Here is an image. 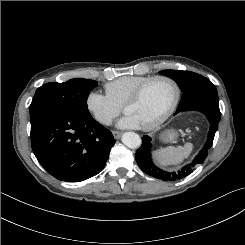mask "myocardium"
<instances>
[{
	"mask_svg": "<svg viewBox=\"0 0 245 245\" xmlns=\"http://www.w3.org/2000/svg\"><path fill=\"white\" fill-rule=\"evenodd\" d=\"M154 81H167V82L171 83L175 89V97H174L173 103H172L171 107L169 108V110L159 120H157L154 123L149 124L147 126H143L142 129L144 131H152V130H155V129L159 128L160 126H162L174 114V112L176 111V109L179 105L180 98H181V87H180L179 83L174 78H171L169 76H153V77H150L149 79L145 80L144 82H142L133 91V93L125 101V103L123 105V110L125 111L129 105L136 103L140 99V97L142 96V93L145 90V88L150 83H152Z\"/></svg>",
	"mask_w": 245,
	"mask_h": 245,
	"instance_id": "myocardium-1",
	"label": "myocardium"
}]
</instances>
